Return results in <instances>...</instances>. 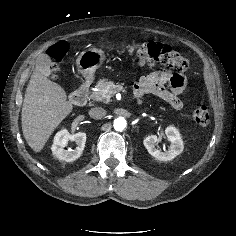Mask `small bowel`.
Masks as SVG:
<instances>
[{
    "instance_id": "c3829d8e",
    "label": "small bowel",
    "mask_w": 236,
    "mask_h": 236,
    "mask_svg": "<svg viewBox=\"0 0 236 236\" xmlns=\"http://www.w3.org/2000/svg\"><path fill=\"white\" fill-rule=\"evenodd\" d=\"M170 87V90L167 89ZM186 86V77L170 70H156L142 77L134 86L137 96L153 94L166 101L172 108L180 110L183 108V101L179 95Z\"/></svg>"
}]
</instances>
